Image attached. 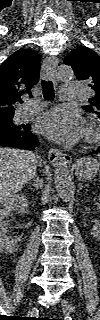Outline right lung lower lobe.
<instances>
[{
  "mask_svg": "<svg viewBox=\"0 0 100 320\" xmlns=\"http://www.w3.org/2000/svg\"><path fill=\"white\" fill-rule=\"evenodd\" d=\"M0 145L33 150L39 145L37 137L30 131L21 134L0 133Z\"/></svg>",
  "mask_w": 100,
  "mask_h": 320,
  "instance_id": "obj_1",
  "label": "right lung lower lobe"
}]
</instances>
